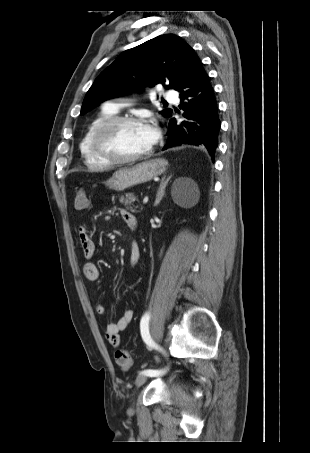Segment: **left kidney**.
<instances>
[{
  "instance_id": "left-kidney-1",
  "label": "left kidney",
  "mask_w": 310,
  "mask_h": 453,
  "mask_svg": "<svg viewBox=\"0 0 310 453\" xmlns=\"http://www.w3.org/2000/svg\"><path fill=\"white\" fill-rule=\"evenodd\" d=\"M195 190L194 188H191V191Z\"/></svg>"
}]
</instances>
